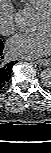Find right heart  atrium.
<instances>
[{
  "label": "right heart atrium",
  "instance_id": "obj_1",
  "mask_svg": "<svg viewBox=\"0 0 51 153\" xmlns=\"http://www.w3.org/2000/svg\"><path fill=\"white\" fill-rule=\"evenodd\" d=\"M17 22L15 11L9 0H0V33L10 36L15 33Z\"/></svg>",
  "mask_w": 51,
  "mask_h": 153
}]
</instances>
